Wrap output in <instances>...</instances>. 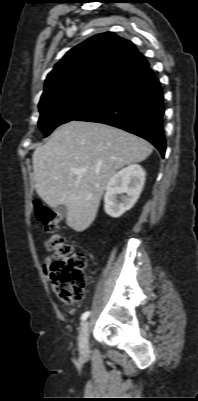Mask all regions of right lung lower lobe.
Listing matches in <instances>:
<instances>
[{"mask_svg":"<svg viewBox=\"0 0 198 401\" xmlns=\"http://www.w3.org/2000/svg\"><path fill=\"white\" fill-rule=\"evenodd\" d=\"M163 92L147 61L108 86L104 96L74 120L108 124L152 143L165 155Z\"/></svg>","mask_w":198,"mask_h":401,"instance_id":"obj_1","label":"right lung lower lobe"}]
</instances>
